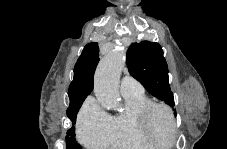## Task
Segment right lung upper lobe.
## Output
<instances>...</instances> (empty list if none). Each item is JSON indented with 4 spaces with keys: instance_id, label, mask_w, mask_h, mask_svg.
Returning <instances> with one entry per match:
<instances>
[{
    "instance_id": "obj_1",
    "label": "right lung upper lobe",
    "mask_w": 227,
    "mask_h": 149,
    "mask_svg": "<svg viewBox=\"0 0 227 149\" xmlns=\"http://www.w3.org/2000/svg\"><path fill=\"white\" fill-rule=\"evenodd\" d=\"M98 43H88L74 67V79L68 89L69 109L75 108L92 92L94 72L99 61Z\"/></svg>"
}]
</instances>
